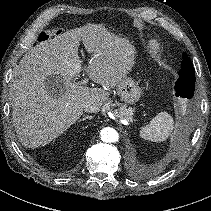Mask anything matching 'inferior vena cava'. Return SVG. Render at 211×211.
<instances>
[{"instance_id":"602c4592","label":"inferior vena cava","mask_w":211,"mask_h":211,"mask_svg":"<svg viewBox=\"0 0 211 211\" xmlns=\"http://www.w3.org/2000/svg\"><path fill=\"white\" fill-rule=\"evenodd\" d=\"M97 107L95 105H93L92 103H87L84 106V111L87 113H95L97 112Z\"/></svg>"}]
</instances>
